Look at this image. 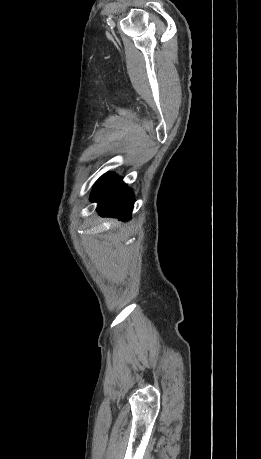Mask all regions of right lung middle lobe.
<instances>
[{"label":"right lung middle lobe","mask_w":261,"mask_h":459,"mask_svg":"<svg viewBox=\"0 0 261 459\" xmlns=\"http://www.w3.org/2000/svg\"><path fill=\"white\" fill-rule=\"evenodd\" d=\"M114 174H104L103 176H101L99 178V180L96 182L95 186H94V189L92 191V194L94 192H96L111 176H113Z\"/></svg>","instance_id":"1"}]
</instances>
